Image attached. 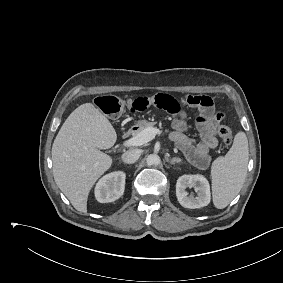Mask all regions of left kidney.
Masks as SVG:
<instances>
[{"instance_id":"obj_1","label":"left kidney","mask_w":283,"mask_h":283,"mask_svg":"<svg viewBox=\"0 0 283 283\" xmlns=\"http://www.w3.org/2000/svg\"><path fill=\"white\" fill-rule=\"evenodd\" d=\"M187 188H194L197 196H189ZM176 196L185 208L195 209L207 206L211 200L209 182L200 174L180 176L176 183Z\"/></svg>"}]
</instances>
